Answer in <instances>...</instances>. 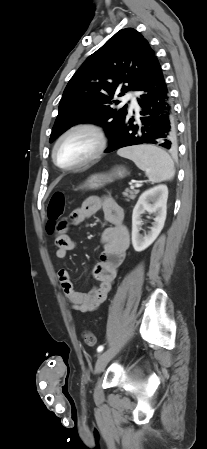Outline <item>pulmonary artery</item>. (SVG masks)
<instances>
[{
	"label": "pulmonary artery",
	"instance_id": "obj_1",
	"mask_svg": "<svg viewBox=\"0 0 207 449\" xmlns=\"http://www.w3.org/2000/svg\"><path fill=\"white\" fill-rule=\"evenodd\" d=\"M123 100H124L125 102H129V103H130V107H131L132 109H136V110L138 109L137 101H136L135 97L133 96V93H132V92L128 93V94L123 98Z\"/></svg>",
	"mask_w": 207,
	"mask_h": 449
}]
</instances>
